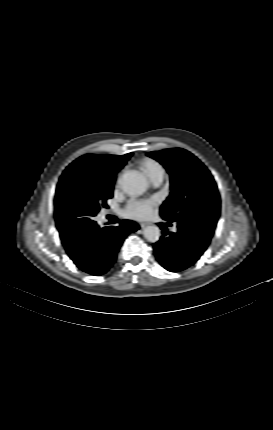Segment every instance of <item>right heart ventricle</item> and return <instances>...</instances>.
<instances>
[{
	"mask_svg": "<svg viewBox=\"0 0 273 430\" xmlns=\"http://www.w3.org/2000/svg\"><path fill=\"white\" fill-rule=\"evenodd\" d=\"M140 168L145 173V175L150 179L153 175L159 172H163L162 165L154 159L144 158L139 163Z\"/></svg>",
	"mask_w": 273,
	"mask_h": 430,
	"instance_id": "right-heart-ventricle-1",
	"label": "right heart ventricle"
}]
</instances>
